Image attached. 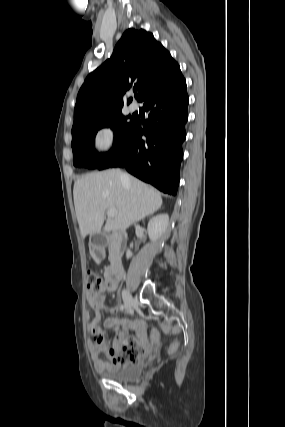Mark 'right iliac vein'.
<instances>
[{
	"label": "right iliac vein",
	"instance_id": "63e3f726",
	"mask_svg": "<svg viewBox=\"0 0 285 427\" xmlns=\"http://www.w3.org/2000/svg\"><path fill=\"white\" fill-rule=\"evenodd\" d=\"M122 298L127 311H130L134 305V299L128 290H123Z\"/></svg>",
	"mask_w": 285,
	"mask_h": 427
}]
</instances>
